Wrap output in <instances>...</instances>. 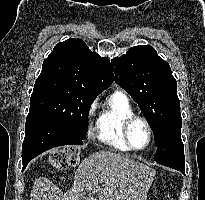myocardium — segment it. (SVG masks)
<instances>
[{
  "label": "myocardium",
  "instance_id": "myocardium-1",
  "mask_svg": "<svg viewBox=\"0 0 205 200\" xmlns=\"http://www.w3.org/2000/svg\"><path fill=\"white\" fill-rule=\"evenodd\" d=\"M136 121L143 122L145 124V126L147 127V130H148V141H147V144L142 148L135 147L132 144L131 139H130V130H131L132 125ZM122 133H123V138H124L126 144L128 145V147L131 150H134V151H142V150L147 149L150 146V144L152 143V140H153V130H152L151 124L147 120V118H145L144 116H141V115L134 114V115L130 116L129 118H127L123 123Z\"/></svg>",
  "mask_w": 205,
  "mask_h": 200
}]
</instances>
